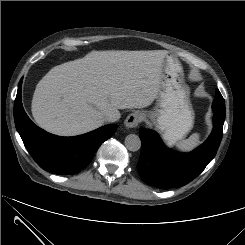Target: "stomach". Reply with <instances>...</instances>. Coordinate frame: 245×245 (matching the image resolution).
Segmentation results:
<instances>
[{"label":"stomach","mask_w":245,"mask_h":245,"mask_svg":"<svg viewBox=\"0 0 245 245\" xmlns=\"http://www.w3.org/2000/svg\"><path fill=\"white\" fill-rule=\"evenodd\" d=\"M182 76L179 60L167 55L163 62L157 109L148 114L169 144L184 139L194 123L189 89L183 84Z\"/></svg>","instance_id":"1"}]
</instances>
